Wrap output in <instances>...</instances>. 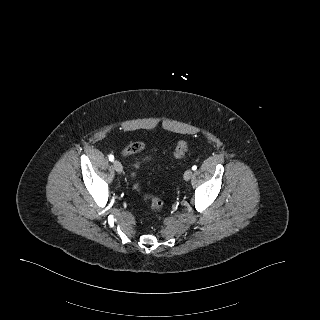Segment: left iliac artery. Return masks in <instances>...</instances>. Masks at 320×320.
Segmentation results:
<instances>
[{
    "label": "left iliac artery",
    "instance_id": "44dca946",
    "mask_svg": "<svg viewBox=\"0 0 320 320\" xmlns=\"http://www.w3.org/2000/svg\"><path fill=\"white\" fill-rule=\"evenodd\" d=\"M196 169H197V166L194 165V166L192 167V170H196Z\"/></svg>",
    "mask_w": 320,
    "mask_h": 320
}]
</instances>
